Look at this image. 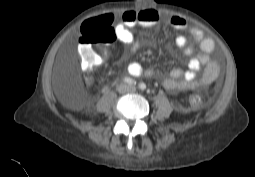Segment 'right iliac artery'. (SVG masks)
<instances>
[{"label":"right iliac artery","mask_w":255,"mask_h":177,"mask_svg":"<svg viewBox=\"0 0 255 177\" xmlns=\"http://www.w3.org/2000/svg\"><path fill=\"white\" fill-rule=\"evenodd\" d=\"M124 82H126V83L129 84V85H135V84H136V81L133 80V79L130 78V77H125V78H124Z\"/></svg>","instance_id":"1"}]
</instances>
